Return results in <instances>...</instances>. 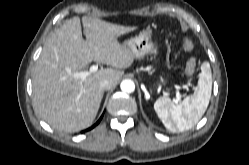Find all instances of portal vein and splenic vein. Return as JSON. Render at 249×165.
<instances>
[{
    "mask_svg": "<svg viewBox=\"0 0 249 165\" xmlns=\"http://www.w3.org/2000/svg\"><path fill=\"white\" fill-rule=\"evenodd\" d=\"M98 70V65H92L89 69V71H81V72H76L73 74V76L75 78H79V79H85L90 73H94ZM180 100V93L178 91V88H177V91H176V99L174 100V102H178Z\"/></svg>",
    "mask_w": 249,
    "mask_h": 165,
    "instance_id": "obj_1",
    "label": "portal vein and splenic vein"
}]
</instances>
